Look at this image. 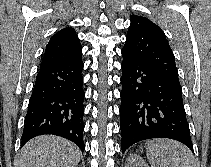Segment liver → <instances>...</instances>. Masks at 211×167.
<instances>
[{
    "label": "liver",
    "instance_id": "6515ba94",
    "mask_svg": "<svg viewBox=\"0 0 211 167\" xmlns=\"http://www.w3.org/2000/svg\"><path fill=\"white\" fill-rule=\"evenodd\" d=\"M81 157L80 149L61 137L43 135L25 144L17 167H75Z\"/></svg>",
    "mask_w": 211,
    "mask_h": 167
}]
</instances>
